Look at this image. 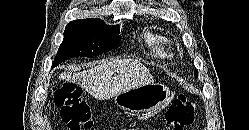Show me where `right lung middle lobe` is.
Wrapping results in <instances>:
<instances>
[{"mask_svg": "<svg viewBox=\"0 0 249 130\" xmlns=\"http://www.w3.org/2000/svg\"><path fill=\"white\" fill-rule=\"evenodd\" d=\"M119 26H108L100 19L87 18L71 21L64 31L52 67L73 57H93L120 46Z\"/></svg>", "mask_w": 249, "mask_h": 130, "instance_id": "right-lung-middle-lobe-1", "label": "right lung middle lobe"}]
</instances>
